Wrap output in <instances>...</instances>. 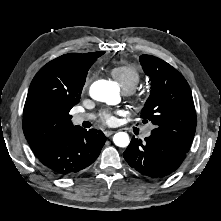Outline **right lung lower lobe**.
Here are the masks:
<instances>
[{
	"mask_svg": "<svg viewBox=\"0 0 221 221\" xmlns=\"http://www.w3.org/2000/svg\"><path fill=\"white\" fill-rule=\"evenodd\" d=\"M105 141L103 132L75 126L36 157L49 172L59 177H71L97 159Z\"/></svg>",
	"mask_w": 221,
	"mask_h": 221,
	"instance_id": "right-lung-lower-lobe-1",
	"label": "right lung lower lobe"
}]
</instances>
